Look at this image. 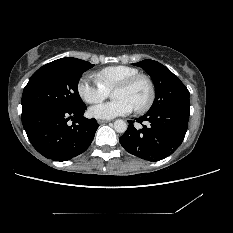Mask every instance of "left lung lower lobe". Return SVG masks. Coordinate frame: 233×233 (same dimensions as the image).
I'll use <instances>...</instances> for the list:
<instances>
[{
	"mask_svg": "<svg viewBox=\"0 0 233 233\" xmlns=\"http://www.w3.org/2000/svg\"><path fill=\"white\" fill-rule=\"evenodd\" d=\"M190 105H180L147 112L135 119L150 126L136 129L134 121H128L126 132L119 138L123 148L141 159L158 161L171 155L184 140L189 120Z\"/></svg>",
	"mask_w": 233,
	"mask_h": 233,
	"instance_id": "1",
	"label": "left lung lower lobe"
}]
</instances>
